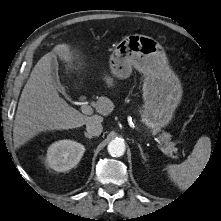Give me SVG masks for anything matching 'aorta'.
I'll return each mask as SVG.
<instances>
[{
  "label": "aorta",
  "instance_id": "1",
  "mask_svg": "<svg viewBox=\"0 0 221 221\" xmlns=\"http://www.w3.org/2000/svg\"><path fill=\"white\" fill-rule=\"evenodd\" d=\"M108 152L113 157H120L125 152V143L123 140L115 139L108 144Z\"/></svg>",
  "mask_w": 221,
  "mask_h": 221
}]
</instances>
